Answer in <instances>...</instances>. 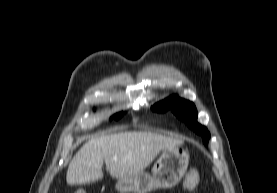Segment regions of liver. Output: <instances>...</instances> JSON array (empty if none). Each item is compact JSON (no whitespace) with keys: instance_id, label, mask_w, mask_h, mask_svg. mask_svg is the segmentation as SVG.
Instances as JSON below:
<instances>
[{"instance_id":"1","label":"liver","mask_w":277,"mask_h":193,"mask_svg":"<svg viewBox=\"0 0 277 193\" xmlns=\"http://www.w3.org/2000/svg\"><path fill=\"white\" fill-rule=\"evenodd\" d=\"M183 140L152 132H118L91 138L76 153L67 170L69 185L86 184L103 178L102 167L114 178L140 173L166 148Z\"/></svg>"}]
</instances>
